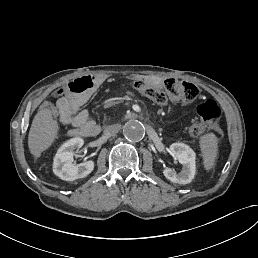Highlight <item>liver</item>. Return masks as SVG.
Returning <instances> with one entry per match:
<instances>
[{
    "label": "liver",
    "mask_w": 258,
    "mask_h": 258,
    "mask_svg": "<svg viewBox=\"0 0 258 258\" xmlns=\"http://www.w3.org/2000/svg\"><path fill=\"white\" fill-rule=\"evenodd\" d=\"M58 129L51 110L42 109L35 115L28 136V147L35 158L40 157L41 153L52 145Z\"/></svg>",
    "instance_id": "obj_1"
}]
</instances>
